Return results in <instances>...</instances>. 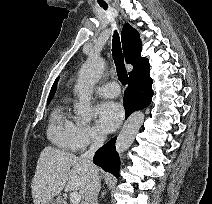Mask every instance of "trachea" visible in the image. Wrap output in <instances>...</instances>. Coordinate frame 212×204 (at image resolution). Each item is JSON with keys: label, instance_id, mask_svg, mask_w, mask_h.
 <instances>
[{"label": "trachea", "instance_id": "1", "mask_svg": "<svg viewBox=\"0 0 212 204\" xmlns=\"http://www.w3.org/2000/svg\"><path fill=\"white\" fill-rule=\"evenodd\" d=\"M105 10L107 9V6H102ZM112 56L114 59V63L116 65V70H117V75L119 78V81L123 84H127L128 80V75L127 71L124 66V60H123V54L121 50V43H120V38L118 33L115 31L113 35V40H112Z\"/></svg>", "mask_w": 212, "mask_h": 204}]
</instances>
